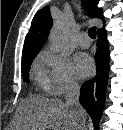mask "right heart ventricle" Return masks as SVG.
Here are the masks:
<instances>
[{
	"label": "right heart ventricle",
	"mask_w": 123,
	"mask_h": 130,
	"mask_svg": "<svg viewBox=\"0 0 123 130\" xmlns=\"http://www.w3.org/2000/svg\"><path fill=\"white\" fill-rule=\"evenodd\" d=\"M35 74H36V78H37L38 82L41 84V86L44 87L45 89H47L45 81H44V79L41 75V72H40L39 60L38 59L35 63Z\"/></svg>",
	"instance_id": "1"
}]
</instances>
